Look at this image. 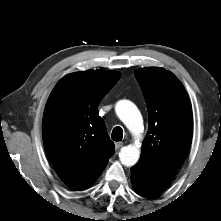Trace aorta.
<instances>
[{"mask_svg": "<svg viewBox=\"0 0 221 221\" xmlns=\"http://www.w3.org/2000/svg\"><path fill=\"white\" fill-rule=\"evenodd\" d=\"M115 110L126 127L133 134H138L143 125V119L138 108L128 100H121L116 104ZM139 157L140 150L134 145L122 147L119 153L121 163L127 167L135 165Z\"/></svg>", "mask_w": 221, "mask_h": 221, "instance_id": "aorta-1", "label": "aorta"}]
</instances>
